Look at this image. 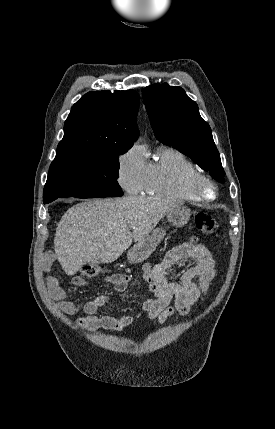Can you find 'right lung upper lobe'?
<instances>
[{"instance_id":"cb5924a9","label":"right lung upper lobe","mask_w":275,"mask_h":429,"mask_svg":"<svg viewBox=\"0 0 275 429\" xmlns=\"http://www.w3.org/2000/svg\"><path fill=\"white\" fill-rule=\"evenodd\" d=\"M138 107L139 94L134 90L88 92L71 108L57 155L126 152L139 136Z\"/></svg>"}]
</instances>
